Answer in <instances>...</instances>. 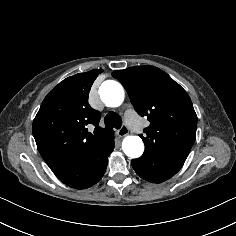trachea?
<instances>
[{
    "instance_id": "obj_1",
    "label": "trachea",
    "mask_w": 236,
    "mask_h": 236,
    "mask_svg": "<svg viewBox=\"0 0 236 236\" xmlns=\"http://www.w3.org/2000/svg\"><path fill=\"white\" fill-rule=\"evenodd\" d=\"M104 122L107 128H120L122 125V119L121 117L113 112H110L106 114L104 118Z\"/></svg>"
}]
</instances>
